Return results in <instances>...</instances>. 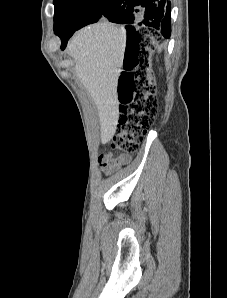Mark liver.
Masks as SVG:
<instances>
[{"label":"liver","mask_w":227,"mask_h":298,"mask_svg":"<svg viewBox=\"0 0 227 298\" xmlns=\"http://www.w3.org/2000/svg\"><path fill=\"white\" fill-rule=\"evenodd\" d=\"M125 47L124 27L107 21L79 30L68 45L75 74L97 107L103 144L112 139L118 123L117 83Z\"/></svg>","instance_id":"1"}]
</instances>
